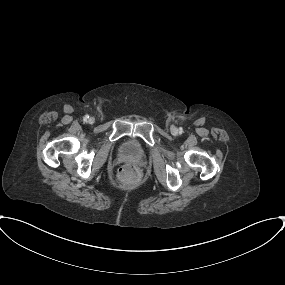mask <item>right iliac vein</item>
<instances>
[{
	"label": "right iliac vein",
	"instance_id": "right-iliac-vein-1",
	"mask_svg": "<svg viewBox=\"0 0 285 285\" xmlns=\"http://www.w3.org/2000/svg\"><path fill=\"white\" fill-rule=\"evenodd\" d=\"M94 122V119L93 118H90L89 119V123H93Z\"/></svg>",
	"mask_w": 285,
	"mask_h": 285
}]
</instances>
